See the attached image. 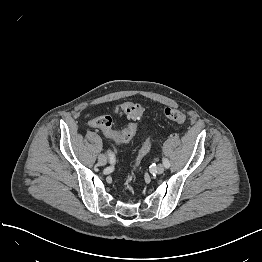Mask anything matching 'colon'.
I'll return each mask as SVG.
<instances>
[{"instance_id":"5ec220e1","label":"colon","mask_w":262,"mask_h":262,"mask_svg":"<svg viewBox=\"0 0 262 262\" xmlns=\"http://www.w3.org/2000/svg\"><path fill=\"white\" fill-rule=\"evenodd\" d=\"M113 111L115 113H125L128 116L129 121L125 127L118 130L113 129V121L109 116H100L94 119L91 123L92 126L101 129L116 144L131 141L137 131V122L144 114V108L136 103L124 102L116 105ZM164 114L168 119L177 123H184L186 118L182 111L172 107L165 108ZM152 144L153 140L150 136L144 140L135 160L134 171L138 169L140 162L150 151Z\"/></svg>"}]
</instances>
